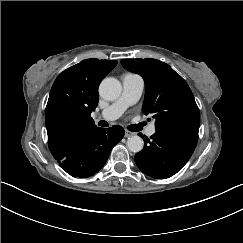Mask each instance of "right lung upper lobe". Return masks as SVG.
I'll use <instances>...</instances> for the list:
<instances>
[{
	"instance_id": "right-lung-upper-lobe-1",
	"label": "right lung upper lobe",
	"mask_w": 243,
	"mask_h": 243,
	"mask_svg": "<svg viewBox=\"0 0 243 243\" xmlns=\"http://www.w3.org/2000/svg\"><path fill=\"white\" fill-rule=\"evenodd\" d=\"M117 61L86 59L61 72L46 106L45 124L53 157L74 139L97 127L91 112L98 104V87Z\"/></svg>"
}]
</instances>
